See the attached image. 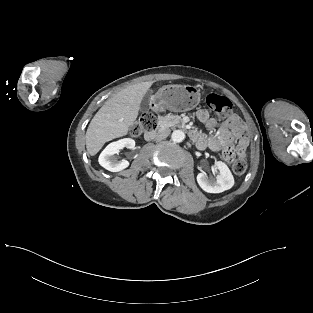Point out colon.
<instances>
[{
	"instance_id": "colon-1",
	"label": "colon",
	"mask_w": 313,
	"mask_h": 313,
	"mask_svg": "<svg viewBox=\"0 0 313 313\" xmlns=\"http://www.w3.org/2000/svg\"><path fill=\"white\" fill-rule=\"evenodd\" d=\"M208 107L220 114L221 116H227L232 108L231 101L224 96L218 94H209L206 98ZM157 127V115L151 111H145L141 113L139 118L131 127V134L139 136L143 133H147L155 130ZM223 158L232 163V169L235 174L241 175L247 169V160L245 157H236L231 150H225L223 152Z\"/></svg>"
}]
</instances>
